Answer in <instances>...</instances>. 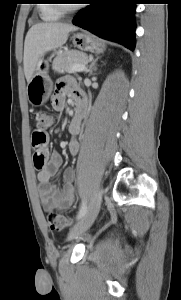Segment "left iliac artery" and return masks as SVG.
<instances>
[{
	"label": "left iliac artery",
	"mask_w": 181,
	"mask_h": 300,
	"mask_svg": "<svg viewBox=\"0 0 181 300\" xmlns=\"http://www.w3.org/2000/svg\"><path fill=\"white\" fill-rule=\"evenodd\" d=\"M86 211H87V204H86L85 199H83L82 203H81L80 210H79L78 215H77V219L78 220L81 219L85 215Z\"/></svg>",
	"instance_id": "1"
}]
</instances>
